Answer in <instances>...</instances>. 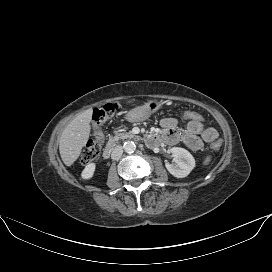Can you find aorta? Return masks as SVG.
Wrapping results in <instances>:
<instances>
[{"label":"aorta","mask_w":272,"mask_h":272,"mask_svg":"<svg viewBox=\"0 0 272 272\" xmlns=\"http://www.w3.org/2000/svg\"><path fill=\"white\" fill-rule=\"evenodd\" d=\"M123 147L127 153H133L136 150V144L133 141H126Z\"/></svg>","instance_id":"obj_1"}]
</instances>
